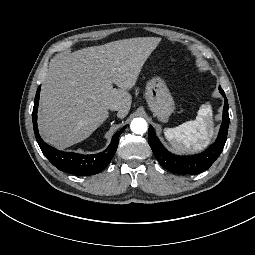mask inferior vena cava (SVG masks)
Returning <instances> with one entry per match:
<instances>
[{
    "label": "inferior vena cava",
    "mask_w": 255,
    "mask_h": 255,
    "mask_svg": "<svg viewBox=\"0 0 255 255\" xmlns=\"http://www.w3.org/2000/svg\"><path fill=\"white\" fill-rule=\"evenodd\" d=\"M120 106L118 103H112L110 106H109V109L112 110V111H117L119 110Z\"/></svg>",
    "instance_id": "1"
}]
</instances>
